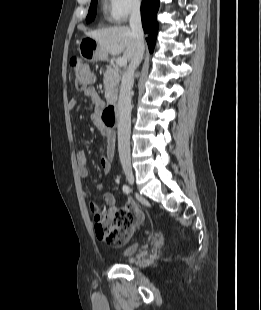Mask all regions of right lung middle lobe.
<instances>
[{"mask_svg":"<svg viewBox=\"0 0 261 310\" xmlns=\"http://www.w3.org/2000/svg\"><path fill=\"white\" fill-rule=\"evenodd\" d=\"M96 9H97V0H92L91 5L89 8V12L86 18L87 23L91 22L94 20L95 15H96Z\"/></svg>","mask_w":261,"mask_h":310,"instance_id":"1","label":"right lung middle lobe"}]
</instances>
